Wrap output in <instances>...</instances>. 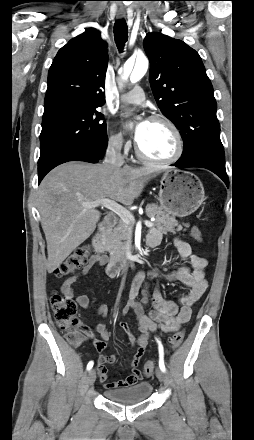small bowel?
Instances as JSON below:
<instances>
[{
  "instance_id": "small-bowel-1",
  "label": "small bowel",
  "mask_w": 254,
  "mask_h": 440,
  "mask_svg": "<svg viewBox=\"0 0 254 440\" xmlns=\"http://www.w3.org/2000/svg\"><path fill=\"white\" fill-rule=\"evenodd\" d=\"M162 234L157 229H151L146 235V244L149 247H156L161 243ZM174 244L181 256L182 266L176 270L167 273H159L156 270L140 271L136 274L129 300L124 307L127 312L133 309L137 315L138 326L141 334L135 336L130 331L126 322H122L120 327L128 334L131 344L136 351L131 359V374L123 380L108 381L107 365L116 362L115 355H106L104 350L106 342L110 338V332L105 324H98L95 332L98 338L94 339L93 345L100 353L98 357L99 379L106 389L122 388L141 381L142 374L138 369L141 358L148 345L151 333L161 330L166 333L175 332L190 320L193 306L204 295L208 288V282L205 277V268L207 260L199 255L192 253L190 245L176 238ZM106 257L94 255L83 269L68 278L61 286V292L68 298H74L75 302L82 308L89 307V298L86 295L74 296V286L82 276L88 275L97 265H104ZM168 280L184 285L187 292L179 299L180 306L163 298L158 285L152 286L151 280ZM141 294V300L137 297ZM96 312L104 317L108 315V308L100 305Z\"/></svg>"
}]
</instances>
